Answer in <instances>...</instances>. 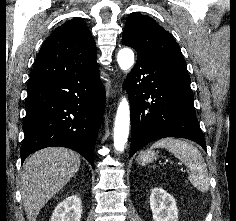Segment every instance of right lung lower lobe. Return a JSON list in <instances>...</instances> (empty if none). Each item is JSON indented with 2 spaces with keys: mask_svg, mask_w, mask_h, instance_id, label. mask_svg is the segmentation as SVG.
Returning <instances> with one entry per match:
<instances>
[{
  "mask_svg": "<svg viewBox=\"0 0 236 221\" xmlns=\"http://www.w3.org/2000/svg\"><path fill=\"white\" fill-rule=\"evenodd\" d=\"M27 92L22 162L37 150L61 146L77 151L94 167L105 103L99 70L34 84Z\"/></svg>",
  "mask_w": 236,
  "mask_h": 221,
  "instance_id": "right-lung-lower-lobe-1",
  "label": "right lung lower lobe"
}]
</instances>
